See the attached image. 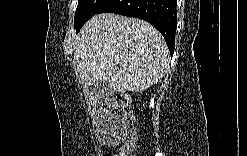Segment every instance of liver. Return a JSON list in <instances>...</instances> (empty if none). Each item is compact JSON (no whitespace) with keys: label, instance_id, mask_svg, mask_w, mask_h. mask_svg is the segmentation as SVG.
<instances>
[{"label":"liver","instance_id":"liver-1","mask_svg":"<svg viewBox=\"0 0 247 156\" xmlns=\"http://www.w3.org/2000/svg\"><path fill=\"white\" fill-rule=\"evenodd\" d=\"M74 61L85 89L101 80L120 93L151 87L170 62L163 36L150 23L113 13L95 15L82 27Z\"/></svg>","mask_w":247,"mask_h":156}]
</instances>
